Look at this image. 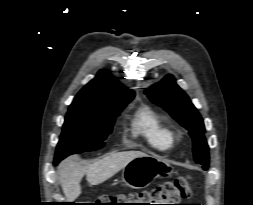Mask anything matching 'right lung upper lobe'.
<instances>
[{
	"mask_svg": "<svg viewBox=\"0 0 253 205\" xmlns=\"http://www.w3.org/2000/svg\"><path fill=\"white\" fill-rule=\"evenodd\" d=\"M134 97V92L119 84L104 70L74 98L69 109L98 112L113 102Z\"/></svg>",
	"mask_w": 253,
	"mask_h": 205,
	"instance_id": "obj_1",
	"label": "right lung upper lobe"
}]
</instances>
